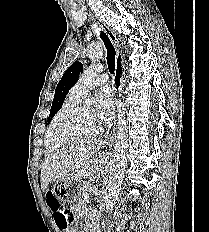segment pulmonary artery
I'll return each mask as SVG.
<instances>
[{"label": "pulmonary artery", "mask_w": 209, "mask_h": 232, "mask_svg": "<svg viewBox=\"0 0 209 232\" xmlns=\"http://www.w3.org/2000/svg\"><path fill=\"white\" fill-rule=\"evenodd\" d=\"M107 80L108 75L103 73L102 65H91L81 74L77 83L71 88L69 96L81 101L90 90L106 83Z\"/></svg>", "instance_id": "pulmonary-artery-1"}]
</instances>
